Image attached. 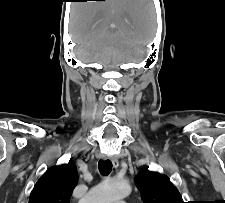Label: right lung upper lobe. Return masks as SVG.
<instances>
[{
	"mask_svg": "<svg viewBox=\"0 0 225 203\" xmlns=\"http://www.w3.org/2000/svg\"><path fill=\"white\" fill-rule=\"evenodd\" d=\"M78 182L72 163L48 169L34 186L29 203H69Z\"/></svg>",
	"mask_w": 225,
	"mask_h": 203,
	"instance_id": "1",
	"label": "right lung upper lobe"
}]
</instances>
